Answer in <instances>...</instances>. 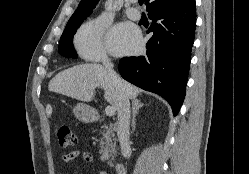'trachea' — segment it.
Wrapping results in <instances>:
<instances>
[{
	"instance_id": "trachea-1",
	"label": "trachea",
	"mask_w": 249,
	"mask_h": 174,
	"mask_svg": "<svg viewBox=\"0 0 249 174\" xmlns=\"http://www.w3.org/2000/svg\"><path fill=\"white\" fill-rule=\"evenodd\" d=\"M139 5L142 6V4L144 3V0H138Z\"/></svg>"
}]
</instances>
